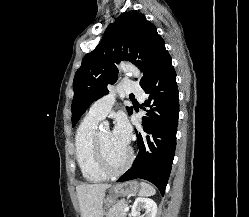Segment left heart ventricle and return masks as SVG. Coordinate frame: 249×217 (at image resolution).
Here are the masks:
<instances>
[{"instance_id": "left-heart-ventricle-1", "label": "left heart ventricle", "mask_w": 249, "mask_h": 217, "mask_svg": "<svg viewBox=\"0 0 249 217\" xmlns=\"http://www.w3.org/2000/svg\"><path fill=\"white\" fill-rule=\"evenodd\" d=\"M100 138L109 163L113 167H119L126 159L127 147L119 146L109 130L101 131Z\"/></svg>"}]
</instances>
